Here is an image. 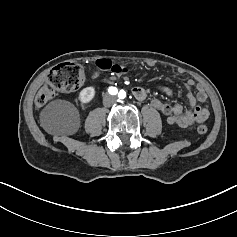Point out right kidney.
I'll return each instance as SVG.
<instances>
[{
    "label": "right kidney",
    "mask_w": 237,
    "mask_h": 237,
    "mask_svg": "<svg viewBox=\"0 0 237 237\" xmlns=\"http://www.w3.org/2000/svg\"><path fill=\"white\" fill-rule=\"evenodd\" d=\"M95 94L96 89L94 86L85 87L79 92L77 95V101L80 103L82 109L93 101Z\"/></svg>",
    "instance_id": "1"
}]
</instances>
